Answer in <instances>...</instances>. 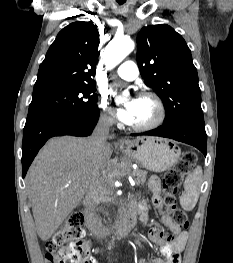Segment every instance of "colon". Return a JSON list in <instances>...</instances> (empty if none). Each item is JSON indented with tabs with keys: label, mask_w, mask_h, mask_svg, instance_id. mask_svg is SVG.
Instances as JSON below:
<instances>
[{
	"label": "colon",
	"mask_w": 233,
	"mask_h": 263,
	"mask_svg": "<svg viewBox=\"0 0 233 263\" xmlns=\"http://www.w3.org/2000/svg\"><path fill=\"white\" fill-rule=\"evenodd\" d=\"M196 162V155L184 152L177 164L163 177L162 187L166 214L181 228L189 226L185 211L176 205V193L182 180ZM83 215L71 213L50 240L46 242V263H90V245L83 236Z\"/></svg>",
	"instance_id": "1"
}]
</instances>
